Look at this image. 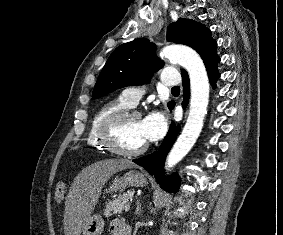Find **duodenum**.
Listing matches in <instances>:
<instances>
[{
  "instance_id": "1",
  "label": "duodenum",
  "mask_w": 283,
  "mask_h": 235,
  "mask_svg": "<svg viewBox=\"0 0 283 235\" xmlns=\"http://www.w3.org/2000/svg\"><path fill=\"white\" fill-rule=\"evenodd\" d=\"M118 235H131L129 226L125 224H118Z\"/></svg>"
}]
</instances>
